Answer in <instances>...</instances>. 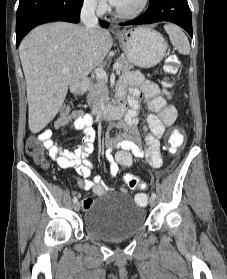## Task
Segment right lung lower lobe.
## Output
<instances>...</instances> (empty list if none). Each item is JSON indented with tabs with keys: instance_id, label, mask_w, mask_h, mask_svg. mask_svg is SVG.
Returning <instances> with one entry per match:
<instances>
[{
	"instance_id": "obj_1",
	"label": "right lung lower lobe",
	"mask_w": 227,
	"mask_h": 279,
	"mask_svg": "<svg viewBox=\"0 0 227 279\" xmlns=\"http://www.w3.org/2000/svg\"><path fill=\"white\" fill-rule=\"evenodd\" d=\"M83 0H20L16 15V45L34 27L53 21L78 23ZM104 28L106 21H99Z\"/></svg>"
}]
</instances>
